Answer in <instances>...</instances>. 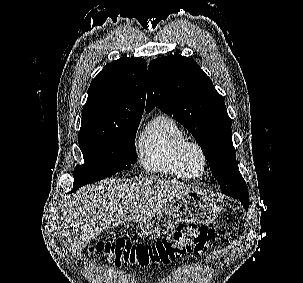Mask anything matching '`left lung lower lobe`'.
<instances>
[{"mask_svg":"<svg viewBox=\"0 0 303 283\" xmlns=\"http://www.w3.org/2000/svg\"><path fill=\"white\" fill-rule=\"evenodd\" d=\"M222 193L240 200L241 203L243 204L244 208L246 210L248 209V206H249V197L247 195L242 194L240 192H236V191H224Z\"/></svg>","mask_w":303,"mask_h":283,"instance_id":"left-lung-lower-lobe-1","label":"left lung lower lobe"}]
</instances>
